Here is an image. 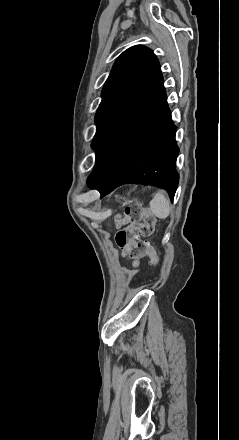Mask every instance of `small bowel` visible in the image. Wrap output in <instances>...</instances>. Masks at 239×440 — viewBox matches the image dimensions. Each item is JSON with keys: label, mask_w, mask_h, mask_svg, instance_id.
<instances>
[{"label": "small bowel", "mask_w": 239, "mask_h": 440, "mask_svg": "<svg viewBox=\"0 0 239 440\" xmlns=\"http://www.w3.org/2000/svg\"><path fill=\"white\" fill-rule=\"evenodd\" d=\"M132 242H130V243H128L127 245H125V246H121L122 247V256L123 257H129L130 256V248L132 247ZM131 257V256H130ZM133 258V260H134V266H137L138 265V258H134V257H132Z\"/></svg>", "instance_id": "c3829d8e"}]
</instances>
